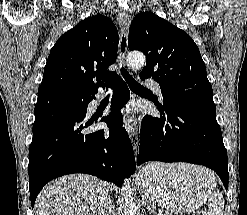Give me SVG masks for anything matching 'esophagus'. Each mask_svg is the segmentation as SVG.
Wrapping results in <instances>:
<instances>
[{
	"label": "esophagus",
	"mask_w": 247,
	"mask_h": 215,
	"mask_svg": "<svg viewBox=\"0 0 247 215\" xmlns=\"http://www.w3.org/2000/svg\"><path fill=\"white\" fill-rule=\"evenodd\" d=\"M117 19L120 26L118 62L121 64H125V55L127 51L128 30H129V15L127 11L120 10ZM131 122H132V126L130 127V139L132 141L133 149L136 153L139 144V138L136 128V121L134 119H131Z\"/></svg>",
	"instance_id": "obj_1"
}]
</instances>
